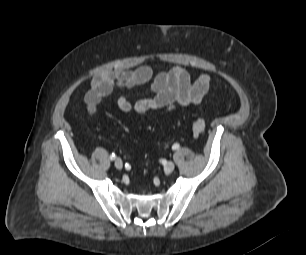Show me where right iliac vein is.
Returning a JSON list of instances; mask_svg holds the SVG:
<instances>
[{
  "label": "right iliac vein",
  "mask_w": 306,
  "mask_h": 255,
  "mask_svg": "<svg viewBox=\"0 0 306 255\" xmlns=\"http://www.w3.org/2000/svg\"><path fill=\"white\" fill-rule=\"evenodd\" d=\"M114 164L117 169L123 168V162L120 158H116Z\"/></svg>",
  "instance_id": "right-iliac-vein-1"
}]
</instances>
